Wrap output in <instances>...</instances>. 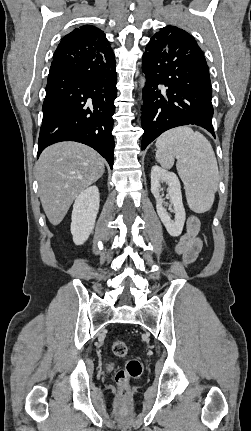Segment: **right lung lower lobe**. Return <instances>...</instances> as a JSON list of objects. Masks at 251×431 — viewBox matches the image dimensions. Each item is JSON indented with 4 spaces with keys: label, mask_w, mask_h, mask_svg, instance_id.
Returning <instances> with one entry per match:
<instances>
[{
    "label": "right lung lower lobe",
    "mask_w": 251,
    "mask_h": 431,
    "mask_svg": "<svg viewBox=\"0 0 251 431\" xmlns=\"http://www.w3.org/2000/svg\"><path fill=\"white\" fill-rule=\"evenodd\" d=\"M116 83L114 57L106 59L93 49L75 54L56 50L42 107L38 157L51 144L76 141L94 148L112 168Z\"/></svg>",
    "instance_id": "obj_1"
}]
</instances>
